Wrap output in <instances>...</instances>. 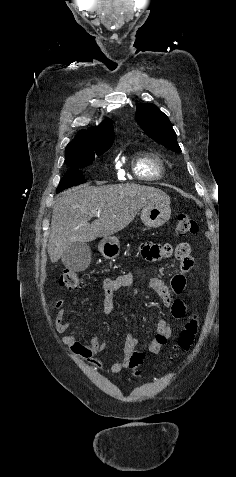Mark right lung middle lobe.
Returning <instances> with one entry per match:
<instances>
[{
    "instance_id": "obj_1",
    "label": "right lung middle lobe",
    "mask_w": 236,
    "mask_h": 477,
    "mask_svg": "<svg viewBox=\"0 0 236 477\" xmlns=\"http://www.w3.org/2000/svg\"><path fill=\"white\" fill-rule=\"evenodd\" d=\"M109 148L110 147L97 150L90 154L76 156L65 162L72 168H82L89 165L94 160L95 156L102 155ZM85 182H86V179L83 177V174L79 170L77 169L70 170L61 179L56 192L59 193L60 191L66 188L76 186Z\"/></svg>"
}]
</instances>
